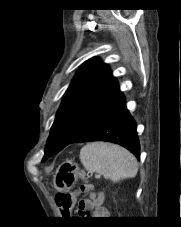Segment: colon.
<instances>
[{
  "mask_svg": "<svg viewBox=\"0 0 181 227\" xmlns=\"http://www.w3.org/2000/svg\"><path fill=\"white\" fill-rule=\"evenodd\" d=\"M90 190H92V187L90 185L80 184L74 192H59L56 195V202L62 209V212L65 215H68L74 207L75 197Z\"/></svg>",
  "mask_w": 181,
  "mask_h": 227,
  "instance_id": "obj_1",
  "label": "colon"
}]
</instances>
